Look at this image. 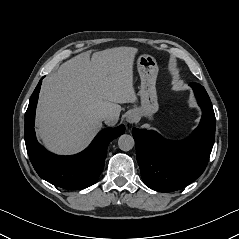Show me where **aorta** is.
Returning <instances> with one entry per match:
<instances>
[{"instance_id":"aorta-1","label":"aorta","mask_w":239,"mask_h":239,"mask_svg":"<svg viewBox=\"0 0 239 239\" xmlns=\"http://www.w3.org/2000/svg\"><path fill=\"white\" fill-rule=\"evenodd\" d=\"M135 145L134 138L131 135L123 134L118 139V146L123 151L131 150Z\"/></svg>"}]
</instances>
